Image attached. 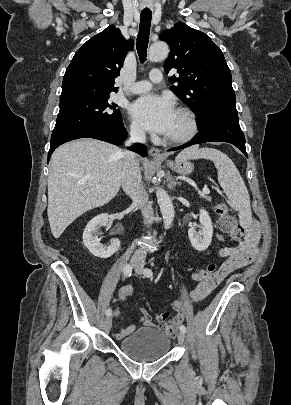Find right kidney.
I'll list each match as a JSON object with an SVG mask.
<instances>
[{
  "mask_svg": "<svg viewBox=\"0 0 291 405\" xmlns=\"http://www.w3.org/2000/svg\"><path fill=\"white\" fill-rule=\"evenodd\" d=\"M108 214H100L94 217L86 226L83 232V243L88 248L89 252L99 258L111 257L120 248L119 239H114L109 246H104L100 243L97 230L99 227L106 226L108 223Z\"/></svg>",
  "mask_w": 291,
  "mask_h": 405,
  "instance_id": "ca27d5eb",
  "label": "right kidney"
}]
</instances>
